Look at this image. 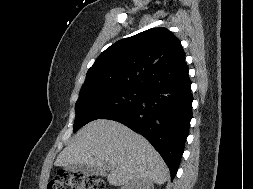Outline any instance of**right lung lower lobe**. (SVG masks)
Listing matches in <instances>:
<instances>
[{
  "instance_id": "obj_1",
  "label": "right lung lower lobe",
  "mask_w": 253,
  "mask_h": 189,
  "mask_svg": "<svg viewBox=\"0 0 253 189\" xmlns=\"http://www.w3.org/2000/svg\"><path fill=\"white\" fill-rule=\"evenodd\" d=\"M191 81L153 86L134 106L109 116L143 135L160 153L174 179L192 118Z\"/></svg>"
}]
</instances>
